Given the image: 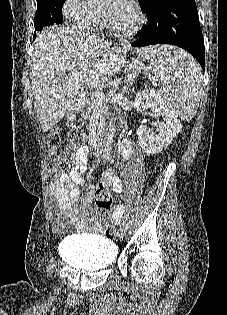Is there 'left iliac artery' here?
<instances>
[{"mask_svg":"<svg viewBox=\"0 0 227 315\" xmlns=\"http://www.w3.org/2000/svg\"><path fill=\"white\" fill-rule=\"evenodd\" d=\"M128 218H129V213L126 212L124 215L123 224H126Z\"/></svg>","mask_w":227,"mask_h":315,"instance_id":"obj_1","label":"left iliac artery"}]
</instances>
